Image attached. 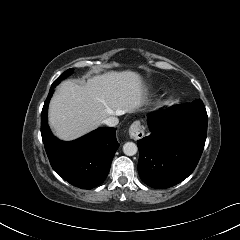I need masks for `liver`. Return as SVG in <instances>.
<instances>
[{"label":"liver","mask_w":240,"mask_h":240,"mask_svg":"<svg viewBox=\"0 0 240 240\" xmlns=\"http://www.w3.org/2000/svg\"><path fill=\"white\" fill-rule=\"evenodd\" d=\"M144 104L140 74L111 71L82 85L62 82L49 105V124L58 138L74 140L96 129L106 118L138 111Z\"/></svg>","instance_id":"6515ba94"}]
</instances>
